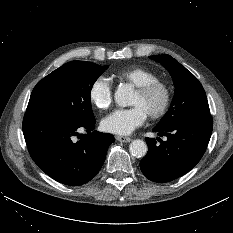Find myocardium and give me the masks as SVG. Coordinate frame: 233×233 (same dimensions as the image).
I'll return each mask as SVG.
<instances>
[{"label": "myocardium", "instance_id": "myocardium-1", "mask_svg": "<svg viewBox=\"0 0 233 233\" xmlns=\"http://www.w3.org/2000/svg\"><path fill=\"white\" fill-rule=\"evenodd\" d=\"M156 90H161L164 97L160 108L148 115V117L152 120L160 119L167 114L172 102L171 86L167 82L158 79L136 87L135 90L138 94L142 96H148Z\"/></svg>", "mask_w": 233, "mask_h": 233}]
</instances>
